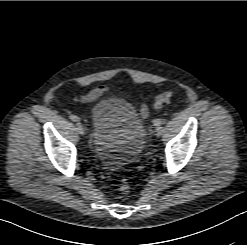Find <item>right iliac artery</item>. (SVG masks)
Segmentation results:
<instances>
[{
	"instance_id": "1",
	"label": "right iliac artery",
	"mask_w": 247,
	"mask_h": 245,
	"mask_svg": "<svg viewBox=\"0 0 247 245\" xmlns=\"http://www.w3.org/2000/svg\"><path fill=\"white\" fill-rule=\"evenodd\" d=\"M69 118H70L71 121H73V122H78V121H80V118L77 117L76 115H73V114L70 115Z\"/></svg>"
}]
</instances>
